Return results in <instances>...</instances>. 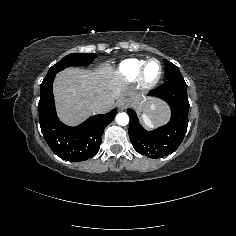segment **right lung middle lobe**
<instances>
[{
    "label": "right lung middle lobe",
    "instance_id": "dd1d6c3e",
    "mask_svg": "<svg viewBox=\"0 0 236 236\" xmlns=\"http://www.w3.org/2000/svg\"><path fill=\"white\" fill-rule=\"evenodd\" d=\"M96 57L93 53H72L53 65L48 73H58L68 66L89 65Z\"/></svg>",
    "mask_w": 236,
    "mask_h": 236
}]
</instances>
